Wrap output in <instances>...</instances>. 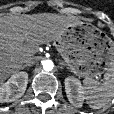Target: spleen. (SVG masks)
Returning a JSON list of instances; mask_svg holds the SVG:
<instances>
[{
  "label": "spleen",
  "mask_w": 114,
  "mask_h": 114,
  "mask_svg": "<svg viewBox=\"0 0 114 114\" xmlns=\"http://www.w3.org/2000/svg\"><path fill=\"white\" fill-rule=\"evenodd\" d=\"M84 97L92 109L106 106L114 97V67L104 74V81L98 84L93 80H84Z\"/></svg>",
  "instance_id": "obj_1"
}]
</instances>
